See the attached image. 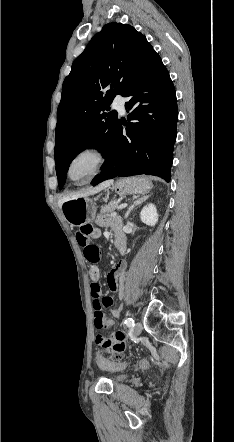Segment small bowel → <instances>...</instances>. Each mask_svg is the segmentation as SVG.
I'll return each mask as SVG.
<instances>
[{
	"mask_svg": "<svg viewBox=\"0 0 234 442\" xmlns=\"http://www.w3.org/2000/svg\"><path fill=\"white\" fill-rule=\"evenodd\" d=\"M97 223L101 226L112 227L116 232V238L121 237L125 242V248H126V239L124 234L121 232L122 222L118 217L105 218L103 216H99L97 218ZM100 234H101L100 231L95 229L92 238H98ZM125 277H126V263L124 261L118 262L107 275L108 286L111 289V291L117 295L119 299H122L124 296ZM92 288H93V283L91 284V291ZM107 299L109 300V306L112 305L113 304L112 298L107 297ZM121 311H122V305L117 304L112 309L111 314L113 317H117L120 315ZM93 325L96 328V334H95L96 343L107 351L113 350L114 351L112 354L113 359L118 360L124 358V350L122 349H126L128 352H131L133 350V347L131 345H128L126 342H124L125 335L123 332L121 331L111 332L108 338L104 335V333H106V331L113 326V320L111 319L109 320L108 314H95Z\"/></svg>",
	"mask_w": 234,
	"mask_h": 442,
	"instance_id": "small-bowel-1",
	"label": "small bowel"
}]
</instances>
